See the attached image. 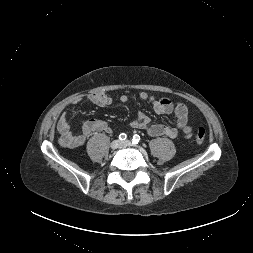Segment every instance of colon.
Masks as SVG:
<instances>
[{
  "label": "colon",
  "instance_id": "colon-1",
  "mask_svg": "<svg viewBox=\"0 0 253 253\" xmlns=\"http://www.w3.org/2000/svg\"><path fill=\"white\" fill-rule=\"evenodd\" d=\"M205 137H206V131L203 127H200L196 132L195 139L198 143H202L205 140Z\"/></svg>",
  "mask_w": 253,
  "mask_h": 253
}]
</instances>
